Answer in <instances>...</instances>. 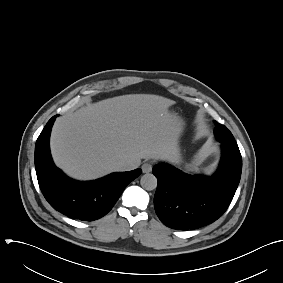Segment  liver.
Returning a JSON list of instances; mask_svg holds the SVG:
<instances>
[{"mask_svg": "<svg viewBox=\"0 0 283 283\" xmlns=\"http://www.w3.org/2000/svg\"><path fill=\"white\" fill-rule=\"evenodd\" d=\"M175 101L150 94L105 99L58 118L50 146L69 176L90 180L117 171L120 160H173L177 129L168 108Z\"/></svg>", "mask_w": 283, "mask_h": 283, "instance_id": "liver-1", "label": "liver"}]
</instances>
